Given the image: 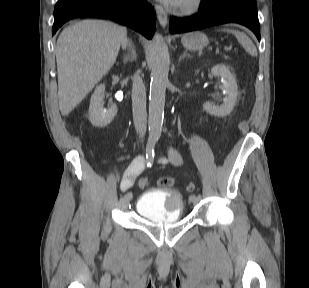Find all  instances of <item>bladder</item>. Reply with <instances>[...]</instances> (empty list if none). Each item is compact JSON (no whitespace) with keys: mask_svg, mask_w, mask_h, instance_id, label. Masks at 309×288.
Instances as JSON below:
<instances>
[{"mask_svg":"<svg viewBox=\"0 0 309 288\" xmlns=\"http://www.w3.org/2000/svg\"><path fill=\"white\" fill-rule=\"evenodd\" d=\"M135 209L151 221L175 222L182 216L183 198L175 190L150 189L141 195Z\"/></svg>","mask_w":309,"mask_h":288,"instance_id":"31cf9c89","label":"bladder"}]
</instances>
